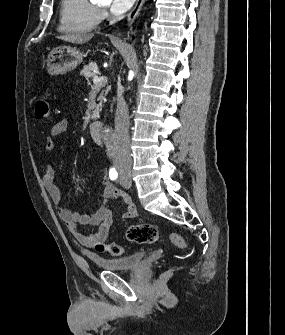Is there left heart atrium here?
Wrapping results in <instances>:
<instances>
[{
	"instance_id": "1",
	"label": "left heart atrium",
	"mask_w": 285,
	"mask_h": 335,
	"mask_svg": "<svg viewBox=\"0 0 285 335\" xmlns=\"http://www.w3.org/2000/svg\"><path fill=\"white\" fill-rule=\"evenodd\" d=\"M106 5L110 7V10L113 14L118 15L122 14L128 10L134 1H103Z\"/></svg>"
}]
</instances>
